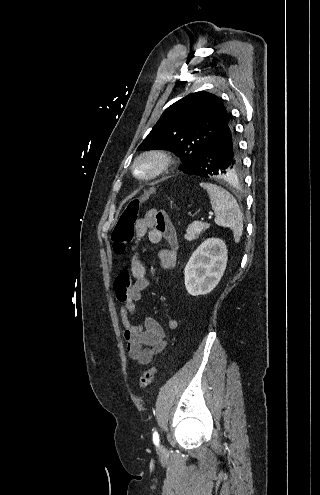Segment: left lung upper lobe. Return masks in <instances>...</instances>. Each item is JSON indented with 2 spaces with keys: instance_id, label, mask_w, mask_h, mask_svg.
I'll list each match as a JSON object with an SVG mask.
<instances>
[{
  "instance_id": "left-lung-upper-lobe-1",
  "label": "left lung upper lobe",
  "mask_w": 320,
  "mask_h": 495,
  "mask_svg": "<svg viewBox=\"0 0 320 495\" xmlns=\"http://www.w3.org/2000/svg\"><path fill=\"white\" fill-rule=\"evenodd\" d=\"M229 119L216 95L204 91L189 94L164 111L138 150L173 151L181 158L179 169L184 171Z\"/></svg>"
}]
</instances>
